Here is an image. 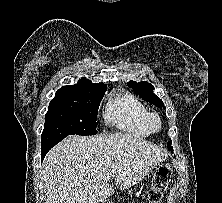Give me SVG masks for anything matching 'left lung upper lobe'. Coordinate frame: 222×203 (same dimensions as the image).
Returning a JSON list of instances; mask_svg holds the SVG:
<instances>
[{
    "label": "left lung upper lobe",
    "mask_w": 222,
    "mask_h": 203,
    "mask_svg": "<svg viewBox=\"0 0 222 203\" xmlns=\"http://www.w3.org/2000/svg\"><path fill=\"white\" fill-rule=\"evenodd\" d=\"M128 85L133 88V90L139 94L143 100L154 104L155 106L161 108L164 106V103L160 98H158L155 94H153L154 86L148 82H135L129 81ZM165 108V106H164ZM168 148L173 149L171 147V140L168 142Z\"/></svg>",
    "instance_id": "obj_1"
}]
</instances>
